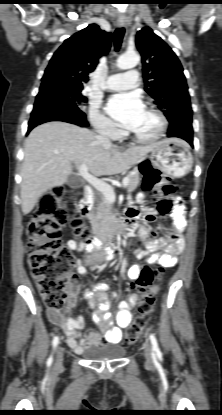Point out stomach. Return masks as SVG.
<instances>
[{"label": "stomach", "mask_w": 222, "mask_h": 415, "mask_svg": "<svg viewBox=\"0 0 222 415\" xmlns=\"http://www.w3.org/2000/svg\"><path fill=\"white\" fill-rule=\"evenodd\" d=\"M149 160L169 176L180 178L191 171L193 158L186 142L171 138L156 143Z\"/></svg>", "instance_id": "stomach-1"}]
</instances>
